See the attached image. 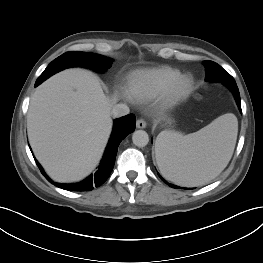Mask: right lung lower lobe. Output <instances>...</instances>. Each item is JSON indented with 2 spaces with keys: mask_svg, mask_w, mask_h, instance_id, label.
<instances>
[{
  "mask_svg": "<svg viewBox=\"0 0 263 263\" xmlns=\"http://www.w3.org/2000/svg\"><path fill=\"white\" fill-rule=\"evenodd\" d=\"M51 73L45 74L44 72L39 76L35 83V87L41 84L44 80L49 78ZM136 119L133 114H129L127 116L121 117L114 122V128L107 145L104 157L100 166L98 167L97 172L94 175L89 176L87 179L82 182L75 184H60L51 181L48 176L44 173L40 164L36 161L37 166L39 167L41 173L45 176V178L54 184L55 186L70 190V191H90L93 187H98L102 185L109 177L111 171L113 170V166L115 163V158L117 154V148L120 142L131 132L135 130Z\"/></svg>",
  "mask_w": 263,
  "mask_h": 263,
  "instance_id": "right-lung-lower-lobe-1",
  "label": "right lung lower lobe"
}]
</instances>
